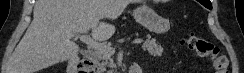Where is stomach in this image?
<instances>
[{
  "label": "stomach",
  "mask_w": 244,
  "mask_h": 73,
  "mask_svg": "<svg viewBox=\"0 0 244 73\" xmlns=\"http://www.w3.org/2000/svg\"><path fill=\"white\" fill-rule=\"evenodd\" d=\"M135 20L150 32L163 34L169 31L170 21L156 13L148 5H142L133 11Z\"/></svg>",
  "instance_id": "obj_1"
}]
</instances>
